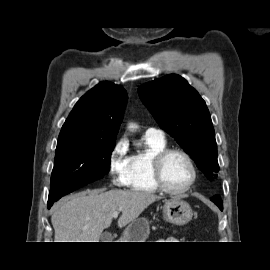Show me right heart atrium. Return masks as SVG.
Listing matches in <instances>:
<instances>
[{"label":"right heart atrium","mask_w":270,"mask_h":270,"mask_svg":"<svg viewBox=\"0 0 270 270\" xmlns=\"http://www.w3.org/2000/svg\"><path fill=\"white\" fill-rule=\"evenodd\" d=\"M126 139L118 140L112 147L108 157V172L113 185L117 187L127 186L130 156Z\"/></svg>","instance_id":"1"}]
</instances>
